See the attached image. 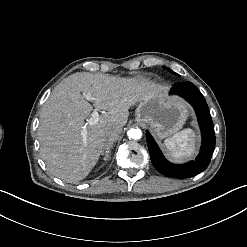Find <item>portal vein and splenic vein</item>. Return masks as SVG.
I'll return each mask as SVG.
<instances>
[{
  "mask_svg": "<svg viewBox=\"0 0 247 247\" xmlns=\"http://www.w3.org/2000/svg\"><path fill=\"white\" fill-rule=\"evenodd\" d=\"M100 121V115L97 111L91 113V118L87 120L88 124L94 125Z\"/></svg>",
  "mask_w": 247,
  "mask_h": 247,
  "instance_id": "18ae733b",
  "label": "portal vein and splenic vein"
}]
</instances>
